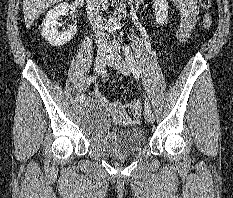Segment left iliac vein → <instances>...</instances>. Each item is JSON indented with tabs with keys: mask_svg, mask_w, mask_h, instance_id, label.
Instances as JSON below:
<instances>
[{
	"mask_svg": "<svg viewBox=\"0 0 233 198\" xmlns=\"http://www.w3.org/2000/svg\"><path fill=\"white\" fill-rule=\"evenodd\" d=\"M108 65L118 70L121 74L127 76L129 75V69L123 58L116 52L113 51L108 58ZM145 120L148 123L154 122V115L151 109H145L144 112Z\"/></svg>",
	"mask_w": 233,
	"mask_h": 198,
	"instance_id": "left-iliac-vein-1",
	"label": "left iliac vein"
}]
</instances>
